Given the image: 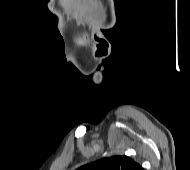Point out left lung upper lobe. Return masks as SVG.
I'll use <instances>...</instances> for the list:
<instances>
[{
    "mask_svg": "<svg viewBox=\"0 0 190 170\" xmlns=\"http://www.w3.org/2000/svg\"><path fill=\"white\" fill-rule=\"evenodd\" d=\"M77 170H143L128 156H112L86 164Z\"/></svg>",
    "mask_w": 190,
    "mask_h": 170,
    "instance_id": "left-lung-upper-lobe-1",
    "label": "left lung upper lobe"
}]
</instances>
